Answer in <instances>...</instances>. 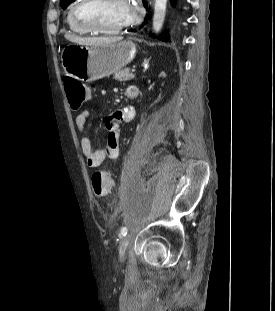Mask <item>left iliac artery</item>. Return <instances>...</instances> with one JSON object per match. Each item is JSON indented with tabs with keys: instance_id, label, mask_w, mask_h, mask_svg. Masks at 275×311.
Masks as SVG:
<instances>
[{
	"instance_id": "left-iliac-artery-1",
	"label": "left iliac artery",
	"mask_w": 275,
	"mask_h": 311,
	"mask_svg": "<svg viewBox=\"0 0 275 311\" xmlns=\"http://www.w3.org/2000/svg\"><path fill=\"white\" fill-rule=\"evenodd\" d=\"M127 227H122L121 228V231H120V236L121 237H124V236H126L127 235Z\"/></svg>"
}]
</instances>
